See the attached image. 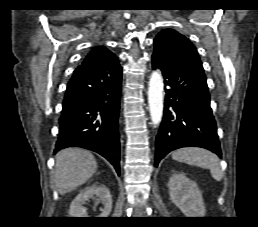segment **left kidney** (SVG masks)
I'll use <instances>...</instances> for the list:
<instances>
[{"label": "left kidney", "instance_id": "obj_1", "mask_svg": "<svg viewBox=\"0 0 258 227\" xmlns=\"http://www.w3.org/2000/svg\"><path fill=\"white\" fill-rule=\"evenodd\" d=\"M168 187L171 201L186 217H204L206 209L196 182L183 173L174 174L169 180Z\"/></svg>", "mask_w": 258, "mask_h": 227}]
</instances>
